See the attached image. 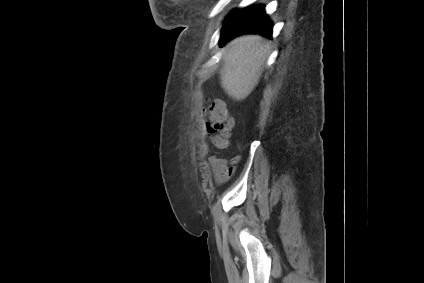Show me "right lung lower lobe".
Listing matches in <instances>:
<instances>
[{
	"instance_id": "obj_1",
	"label": "right lung lower lobe",
	"mask_w": 424,
	"mask_h": 283,
	"mask_svg": "<svg viewBox=\"0 0 424 283\" xmlns=\"http://www.w3.org/2000/svg\"><path fill=\"white\" fill-rule=\"evenodd\" d=\"M272 22L264 12V6H249L233 11L225 21L220 38L221 47L242 34H260L271 38Z\"/></svg>"
}]
</instances>
